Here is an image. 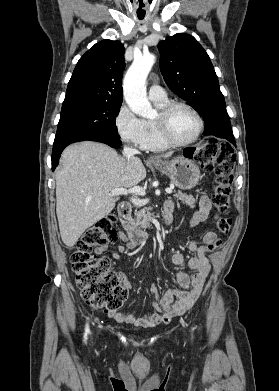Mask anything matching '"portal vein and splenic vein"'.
I'll use <instances>...</instances> for the list:
<instances>
[{
  "label": "portal vein and splenic vein",
  "instance_id": "portal-vein-and-splenic-vein-1",
  "mask_svg": "<svg viewBox=\"0 0 279 391\" xmlns=\"http://www.w3.org/2000/svg\"><path fill=\"white\" fill-rule=\"evenodd\" d=\"M165 191L167 194H172V192H173V190L171 188H167ZM129 193H136L140 196H144L145 189H143L140 186H134L133 188H130L128 190L125 188H116V189L110 190L111 195H128Z\"/></svg>",
  "mask_w": 279,
  "mask_h": 391
}]
</instances>
